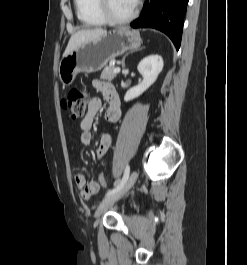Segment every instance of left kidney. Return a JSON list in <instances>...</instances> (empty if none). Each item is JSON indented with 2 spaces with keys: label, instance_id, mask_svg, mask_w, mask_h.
Here are the masks:
<instances>
[{
  "label": "left kidney",
  "instance_id": "1",
  "mask_svg": "<svg viewBox=\"0 0 247 265\" xmlns=\"http://www.w3.org/2000/svg\"><path fill=\"white\" fill-rule=\"evenodd\" d=\"M137 68L143 77V81L126 92L124 96L126 102L140 96L156 81L163 69V59L159 55L147 56L139 63Z\"/></svg>",
  "mask_w": 247,
  "mask_h": 265
}]
</instances>
